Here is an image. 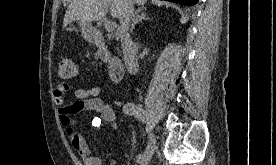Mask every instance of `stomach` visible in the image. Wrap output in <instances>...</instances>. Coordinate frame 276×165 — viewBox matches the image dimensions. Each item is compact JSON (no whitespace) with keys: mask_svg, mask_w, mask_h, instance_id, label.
I'll use <instances>...</instances> for the list:
<instances>
[{"mask_svg":"<svg viewBox=\"0 0 276 165\" xmlns=\"http://www.w3.org/2000/svg\"><path fill=\"white\" fill-rule=\"evenodd\" d=\"M80 28L82 31V36L85 40L92 42L95 40L97 31L96 29L91 25V23L88 22H80Z\"/></svg>","mask_w":276,"mask_h":165,"instance_id":"0dacf381","label":"stomach"}]
</instances>
